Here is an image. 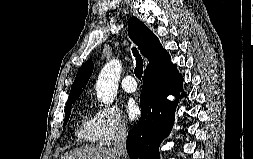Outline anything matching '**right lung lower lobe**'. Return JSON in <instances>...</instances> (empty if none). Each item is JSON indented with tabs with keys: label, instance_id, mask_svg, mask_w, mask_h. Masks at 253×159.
I'll return each instance as SVG.
<instances>
[{
	"label": "right lung lower lobe",
	"instance_id": "98d812e1",
	"mask_svg": "<svg viewBox=\"0 0 253 159\" xmlns=\"http://www.w3.org/2000/svg\"><path fill=\"white\" fill-rule=\"evenodd\" d=\"M182 81L175 65L165 71L144 73L140 94L141 117L128 133L126 141L131 159H160L159 145L172 129ZM170 94L177 100L169 101L167 96ZM181 96L184 97L185 93Z\"/></svg>",
	"mask_w": 253,
	"mask_h": 159
}]
</instances>
